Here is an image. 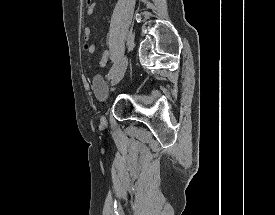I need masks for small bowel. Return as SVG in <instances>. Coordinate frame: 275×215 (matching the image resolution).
<instances>
[{"mask_svg":"<svg viewBox=\"0 0 275 215\" xmlns=\"http://www.w3.org/2000/svg\"><path fill=\"white\" fill-rule=\"evenodd\" d=\"M97 7V2H89L86 5V13L88 16H91ZM84 47L87 53L94 54L97 50V47L94 43L91 42V29L89 26H86L84 29ZM110 55V51L108 49H105L102 54V59L100 61V66H104L107 63L108 57Z\"/></svg>","mask_w":275,"mask_h":215,"instance_id":"1","label":"small bowel"}]
</instances>
